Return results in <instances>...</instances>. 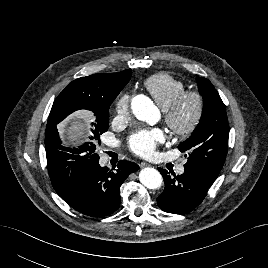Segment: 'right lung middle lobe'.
Masks as SVG:
<instances>
[{
  "label": "right lung middle lobe",
  "instance_id": "obj_1",
  "mask_svg": "<svg viewBox=\"0 0 268 268\" xmlns=\"http://www.w3.org/2000/svg\"><path fill=\"white\" fill-rule=\"evenodd\" d=\"M95 115L97 120L90 139H99V134L108 130L109 110ZM66 116L65 103L55 101L47 124H57ZM45 134L47 167L52 185L57 193H67L88 168L99 160L98 154L95 153V144L89 141L79 146L69 147L62 144L57 131H49L46 128Z\"/></svg>",
  "mask_w": 268,
  "mask_h": 268
}]
</instances>
